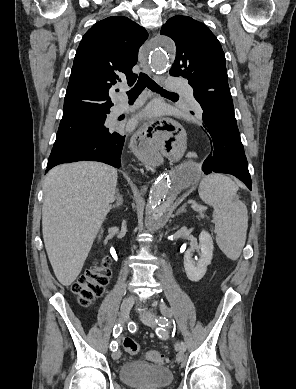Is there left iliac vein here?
Segmentation results:
<instances>
[{
  "mask_svg": "<svg viewBox=\"0 0 296 389\" xmlns=\"http://www.w3.org/2000/svg\"><path fill=\"white\" fill-rule=\"evenodd\" d=\"M141 321L148 325V326H152L154 327L155 326V315L152 313V312H145L143 313L141 316ZM184 351L179 349L178 350V353L176 355V360L178 363H182L184 361Z\"/></svg>",
  "mask_w": 296,
  "mask_h": 389,
  "instance_id": "left-iliac-vein-1",
  "label": "left iliac vein"
}]
</instances>
